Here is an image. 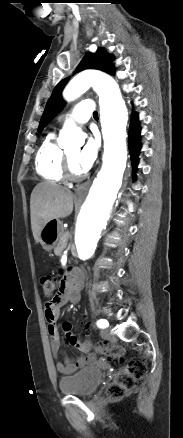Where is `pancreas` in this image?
Wrapping results in <instances>:
<instances>
[{"instance_id": "cf45deb5", "label": "pancreas", "mask_w": 183, "mask_h": 438, "mask_svg": "<svg viewBox=\"0 0 183 438\" xmlns=\"http://www.w3.org/2000/svg\"><path fill=\"white\" fill-rule=\"evenodd\" d=\"M67 241H68V234L66 232H64V233H62L61 237L59 238L57 246L54 249V253L57 256H61L62 255L63 250L67 246Z\"/></svg>"}]
</instances>
